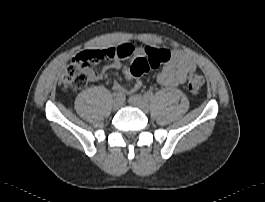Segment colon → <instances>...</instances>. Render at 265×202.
I'll return each instance as SVG.
<instances>
[{"label": "colon", "instance_id": "1", "mask_svg": "<svg viewBox=\"0 0 265 202\" xmlns=\"http://www.w3.org/2000/svg\"><path fill=\"white\" fill-rule=\"evenodd\" d=\"M118 55L111 48L100 51L97 49H87L79 52L75 61L69 64L60 78V84L70 89H80L86 86L87 79L82 71V65L91 62H100L114 59ZM170 59V52L167 49L148 50L142 57L136 58L131 65V74L135 77H141L152 68H156ZM204 84L202 75L195 69L190 71L187 79V90L192 95H197Z\"/></svg>", "mask_w": 265, "mask_h": 202}]
</instances>
